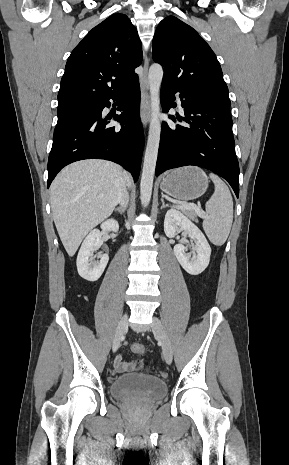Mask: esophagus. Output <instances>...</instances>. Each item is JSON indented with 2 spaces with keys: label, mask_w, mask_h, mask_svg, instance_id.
<instances>
[{
  "label": "esophagus",
  "mask_w": 289,
  "mask_h": 465,
  "mask_svg": "<svg viewBox=\"0 0 289 465\" xmlns=\"http://www.w3.org/2000/svg\"><path fill=\"white\" fill-rule=\"evenodd\" d=\"M148 66L149 59L146 55L144 57L143 76L141 78V106L140 116L143 126L146 128L150 121V98H149V81H148Z\"/></svg>",
  "instance_id": "esophagus-1"
}]
</instances>
